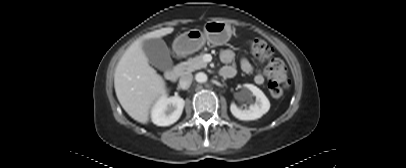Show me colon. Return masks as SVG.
Returning <instances> with one entry per match:
<instances>
[{"label":"colon","mask_w":406,"mask_h":168,"mask_svg":"<svg viewBox=\"0 0 406 168\" xmlns=\"http://www.w3.org/2000/svg\"><path fill=\"white\" fill-rule=\"evenodd\" d=\"M250 52L266 62L268 87L273 97L279 98L288 86L287 71L281 59L273 54L272 47L262 39H254L248 43Z\"/></svg>","instance_id":"obj_1"}]
</instances>
